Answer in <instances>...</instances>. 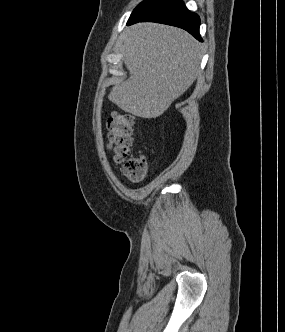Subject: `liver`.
<instances>
[{
    "instance_id": "1",
    "label": "liver",
    "mask_w": 285,
    "mask_h": 332,
    "mask_svg": "<svg viewBox=\"0 0 285 332\" xmlns=\"http://www.w3.org/2000/svg\"><path fill=\"white\" fill-rule=\"evenodd\" d=\"M202 45L186 31L157 23L125 30L124 63L130 77L108 99L123 111L151 119L162 115L194 82Z\"/></svg>"
}]
</instances>
